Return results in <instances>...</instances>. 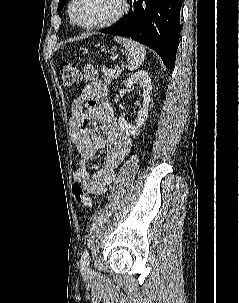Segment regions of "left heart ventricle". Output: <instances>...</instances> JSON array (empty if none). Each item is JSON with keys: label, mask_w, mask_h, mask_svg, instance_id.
<instances>
[{"label": "left heart ventricle", "mask_w": 239, "mask_h": 303, "mask_svg": "<svg viewBox=\"0 0 239 303\" xmlns=\"http://www.w3.org/2000/svg\"><path fill=\"white\" fill-rule=\"evenodd\" d=\"M120 0H79L76 16L82 24L105 21L120 10Z\"/></svg>", "instance_id": "obj_1"}]
</instances>
